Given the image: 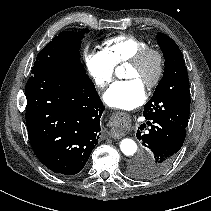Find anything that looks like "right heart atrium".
Here are the masks:
<instances>
[{"label": "right heart atrium", "instance_id": "1", "mask_svg": "<svg viewBox=\"0 0 211 211\" xmlns=\"http://www.w3.org/2000/svg\"><path fill=\"white\" fill-rule=\"evenodd\" d=\"M84 59L88 73L94 84L100 89L106 88L114 78L115 64L101 50H87Z\"/></svg>", "mask_w": 211, "mask_h": 211}]
</instances>
